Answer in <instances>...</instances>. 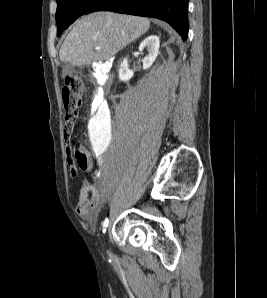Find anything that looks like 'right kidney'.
Here are the masks:
<instances>
[{"mask_svg": "<svg viewBox=\"0 0 267 298\" xmlns=\"http://www.w3.org/2000/svg\"><path fill=\"white\" fill-rule=\"evenodd\" d=\"M160 39L156 35H150L145 38L139 45V51L147 48L148 55L144 57L143 69H148L152 66L159 53ZM133 77V71L128 67V60L125 58L120 65L119 78L121 81H128Z\"/></svg>", "mask_w": 267, "mask_h": 298, "instance_id": "right-kidney-1", "label": "right kidney"}]
</instances>
